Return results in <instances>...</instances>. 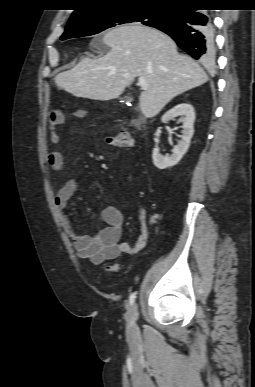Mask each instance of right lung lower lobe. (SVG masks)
I'll return each mask as SVG.
<instances>
[{
	"label": "right lung lower lobe",
	"instance_id": "98d812e1",
	"mask_svg": "<svg viewBox=\"0 0 255 387\" xmlns=\"http://www.w3.org/2000/svg\"><path fill=\"white\" fill-rule=\"evenodd\" d=\"M200 4L172 7L166 23L156 28L171 36L194 59L210 65L215 61L214 28L210 13L198 10Z\"/></svg>",
	"mask_w": 255,
	"mask_h": 387
}]
</instances>
